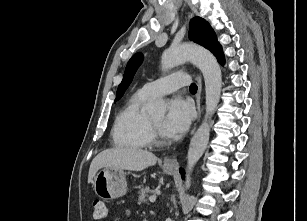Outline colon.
Listing matches in <instances>:
<instances>
[{
  "label": "colon",
  "mask_w": 307,
  "mask_h": 221,
  "mask_svg": "<svg viewBox=\"0 0 307 221\" xmlns=\"http://www.w3.org/2000/svg\"><path fill=\"white\" fill-rule=\"evenodd\" d=\"M93 217L95 219H105L109 216V209L105 201L96 199L93 202Z\"/></svg>",
  "instance_id": "5ec220e1"
}]
</instances>
